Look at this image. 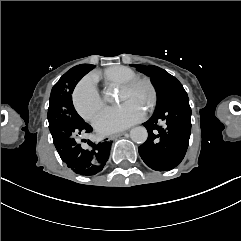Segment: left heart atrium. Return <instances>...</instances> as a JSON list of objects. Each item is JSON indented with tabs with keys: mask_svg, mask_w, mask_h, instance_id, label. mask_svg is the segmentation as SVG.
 Returning a JSON list of instances; mask_svg holds the SVG:
<instances>
[{
	"mask_svg": "<svg viewBox=\"0 0 241 241\" xmlns=\"http://www.w3.org/2000/svg\"><path fill=\"white\" fill-rule=\"evenodd\" d=\"M143 116L140 110L129 111L124 107L107 108L94 118L93 125L100 133L109 135L140 122Z\"/></svg>",
	"mask_w": 241,
	"mask_h": 241,
	"instance_id": "1",
	"label": "left heart atrium"
}]
</instances>
